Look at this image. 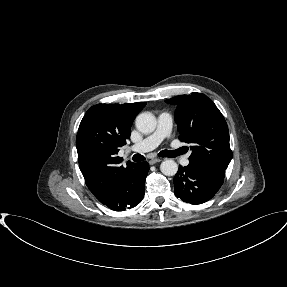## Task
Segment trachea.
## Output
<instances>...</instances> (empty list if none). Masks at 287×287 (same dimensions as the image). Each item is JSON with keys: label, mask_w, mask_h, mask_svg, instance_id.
<instances>
[{"label": "trachea", "mask_w": 287, "mask_h": 287, "mask_svg": "<svg viewBox=\"0 0 287 287\" xmlns=\"http://www.w3.org/2000/svg\"><path fill=\"white\" fill-rule=\"evenodd\" d=\"M179 154H182V151L179 149V150H173V151H170V150H164V151H161L159 153V156L160 157H175ZM133 161H136V162H140V161H143L145 160L144 156L141 155V154H135L133 157H132Z\"/></svg>", "instance_id": "1"}]
</instances>
